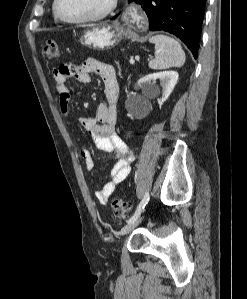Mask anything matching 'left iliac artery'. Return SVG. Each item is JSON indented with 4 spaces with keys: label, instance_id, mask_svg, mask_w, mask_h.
Instances as JSON below:
<instances>
[{
    "label": "left iliac artery",
    "instance_id": "left-iliac-artery-1",
    "mask_svg": "<svg viewBox=\"0 0 247 299\" xmlns=\"http://www.w3.org/2000/svg\"><path fill=\"white\" fill-rule=\"evenodd\" d=\"M149 193H145L142 201L139 203V205L137 206L136 211L134 212V214L130 217V219L127 221V223L135 221L141 214V212L144 210L145 206L147 205L148 201H149Z\"/></svg>",
    "mask_w": 247,
    "mask_h": 299
}]
</instances>
